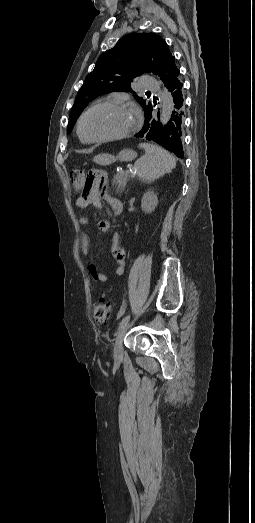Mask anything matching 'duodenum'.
I'll return each instance as SVG.
<instances>
[{"label":"duodenum","mask_w":255,"mask_h":523,"mask_svg":"<svg viewBox=\"0 0 255 523\" xmlns=\"http://www.w3.org/2000/svg\"><path fill=\"white\" fill-rule=\"evenodd\" d=\"M111 206L116 214H120L123 210L122 202L119 199H112Z\"/></svg>","instance_id":"duodenum-1"}]
</instances>
